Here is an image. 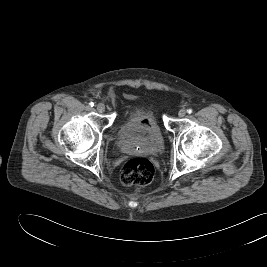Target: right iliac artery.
<instances>
[{
	"mask_svg": "<svg viewBox=\"0 0 267 267\" xmlns=\"http://www.w3.org/2000/svg\"><path fill=\"white\" fill-rule=\"evenodd\" d=\"M89 106H90V107H93V106H94V103H93V102H90V103H89Z\"/></svg>",
	"mask_w": 267,
	"mask_h": 267,
	"instance_id": "right-iliac-artery-1",
	"label": "right iliac artery"
}]
</instances>
